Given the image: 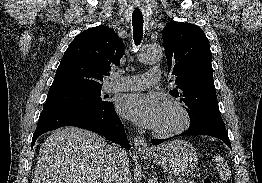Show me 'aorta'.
<instances>
[{"instance_id":"762f6f07","label":"aorta","mask_w":262,"mask_h":183,"mask_svg":"<svg viewBox=\"0 0 262 183\" xmlns=\"http://www.w3.org/2000/svg\"><path fill=\"white\" fill-rule=\"evenodd\" d=\"M162 57L163 52L161 48L157 46H145L138 54V60L143 64H155L159 62Z\"/></svg>"}]
</instances>
